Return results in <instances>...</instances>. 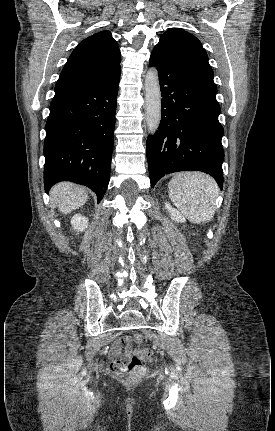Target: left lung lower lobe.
<instances>
[{"label": "left lung lower lobe", "mask_w": 275, "mask_h": 431, "mask_svg": "<svg viewBox=\"0 0 275 431\" xmlns=\"http://www.w3.org/2000/svg\"><path fill=\"white\" fill-rule=\"evenodd\" d=\"M149 64L157 67L162 96L160 126L146 145L151 186L165 174L202 171L222 189L224 131L216 98L157 48Z\"/></svg>", "instance_id": "obj_1"}]
</instances>
